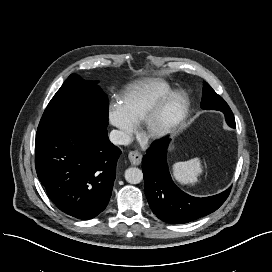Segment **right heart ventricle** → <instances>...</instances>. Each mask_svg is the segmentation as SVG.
<instances>
[{
  "label": "right heart ventricle",
  "mask_w": 272,
  "mask_h": 272,
  "mask_svg": "<svg viewBox=\"0 0 272 272\" xmlns=\"http://www.w3.org/2000/svg\"><path fill=\"white\" fill-rule=\"evenodd\" d=\"M171 92V86L161 79L138 81L124 93L120 107L135 126L145 121L152 109Z\"/></svg>",
  "instance_id": "e07e8e85"
}]
</instances>
